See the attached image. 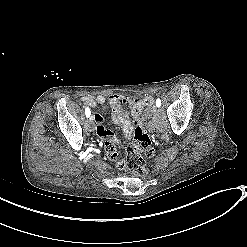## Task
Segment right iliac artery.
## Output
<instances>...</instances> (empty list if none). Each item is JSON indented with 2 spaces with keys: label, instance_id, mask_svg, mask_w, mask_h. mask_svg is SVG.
Returning <instances> with one entry per match:
<instances>
[{
  "label": "right iliac artery",
  "instance_id": "82829eb1",
  "mask_svg": "<svg viewBox=\"0 0 247 247\" xmlns=\"http://www.w3.org/2000/svg\"><path fill=\"white\" fill-rule=\"evenodd\" d=\"M85 114H86V117H89L91 114V111L88 107L85 108Z\"/></svg>",
  "mask_w": 247,
  "mask_h": 247
}]
</instances>
